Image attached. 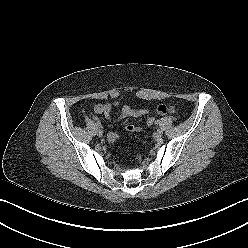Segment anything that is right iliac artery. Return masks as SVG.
<instances>
[{"instance_id":"82829eb1","label":"right iliac artery","mask_w":248,"mask_h":248,"mask_svg":"<svg viewBox=\"0 0 248 248\" xmlns=\"http://www.w3.org/2000/svg\"><path fill=\"white\" fill-rule=\"evenodd\" d=\"M96 126H98L100 128L101 127V124L100 123H96Z\"/></svg>"}]
</instances>
